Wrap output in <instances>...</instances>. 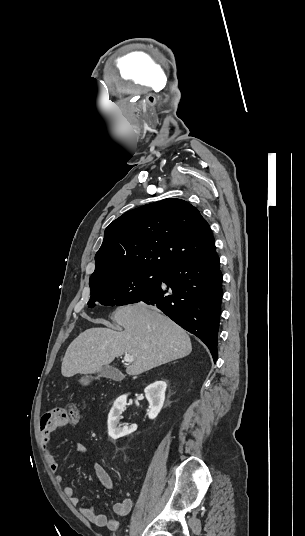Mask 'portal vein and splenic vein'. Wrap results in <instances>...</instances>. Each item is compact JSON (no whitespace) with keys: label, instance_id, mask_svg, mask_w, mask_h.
Instances as JSON below:
<instances>
[{"label":"portal vein and splenic vein","instance_id":"18ae733b","mask_svg":"<svg viewBox=\"0 0 305 536\" xmlns=\"http://www.w3.org/2000/svg\"><path fill=\"white\" fill-rule=\"evenodd\" d=\"M124 362H134V360H133L132 356H130V354H125Z\"/></svg>","mask_w":305,"mask_h":536}]
</instances>
